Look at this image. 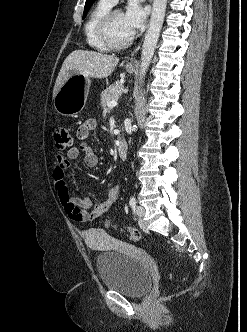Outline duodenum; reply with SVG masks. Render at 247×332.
<instances>
[{
    "mask_svg": "<svg viewBox=\"0 0 247 332\" xmlns=\"http://www.w3.org/2000/svg\"><path fill=\"white\" fill-rule=\"evenodd\" d=\"M118 155L121 159L126 158L128 152V146L126 141L122 140L117 146Z\"/></svg>",
    "mask_w": 247,
    "mask_h": 332,
    "instance_id": "obj_1",
    "label": "duodenum"
}]
</instances>
